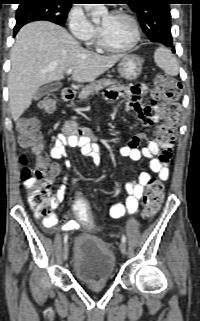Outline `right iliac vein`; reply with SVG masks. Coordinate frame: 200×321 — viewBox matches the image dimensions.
Here are the masks:
<instances>
[{"label": "right iliac vein", "mask_w": 200, "mask_h": 321, "mask_svg": "<svg viewBox=\"0 0 200 321\" xmlns=\"http://www.w3.org/2000/svg\"><path fill=\"white\" fill-rule=\"evenodd\" d=\"M68 252H69V245H68V243H65V245L63 247V257H64V259H67Z\"/></svg>", "instance_id": "right-iliac-vein-1"}]
</instances>
